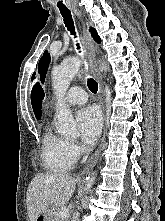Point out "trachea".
<instances>
[{
  "label": "trachea",
  "mask_w": 165,
  "mask_h": 221,
  "mask_svg": "<svg viewBox=\"0 0 165 221\" xmlns=\"http://www.w3.org/2000/svg\"><path fill=\"white\" fill-rule=\"evenodd\" d=\"M60 13L63 17L64 24L67 27L68 31H70L71 35H74L76 37L74 21L71 12L69 10H60ZM76 46L77 49L80 50L79 43H77ZM87 86L92 93H96L98 90V83L92 78H89L87 80Z\"/></svg>",
  "instance_id": "3493384b"
}]
</instances>
